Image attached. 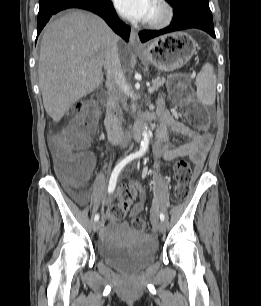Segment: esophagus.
<instances>
[{"instance_id": "34e87169", "label": "esophagus", "mask_w": 261, "mask_h": 306, "mask_svg": "<svg viewBox=\"0 0 261 306\" xmlns=\"http://www.w3.org/2000/svg\"><path fill=\"white\" fill-rule=\"evenodd\" d=\"M129 45L134 50H139L142 48V45L138 37V32L134 28H131Z\"/></svg>"}]
</instances>
